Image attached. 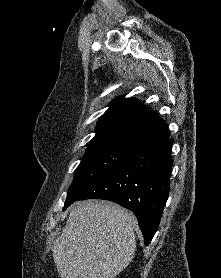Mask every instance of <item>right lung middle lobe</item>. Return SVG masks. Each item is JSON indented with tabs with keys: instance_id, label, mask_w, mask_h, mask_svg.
Masks as SVG:
<instances>
[{
	"instance_id": "1",
	"label": "right lung middle lobe",
	"mask_w": 221,
	"mask_h": 278,
	"mask_svg": "<svg viewBox=\"0 0 221 278\" xmlns=\"http://www.w3.org/2000/svg\"><path fill=\"white\" fill-rule=\"evenodd\" d=\"M134 146L114 140L90 143L81 163L75 170L63 210L77 201L82 193L103 175L124 162Z\"/></svg>"
}]
</instances>
